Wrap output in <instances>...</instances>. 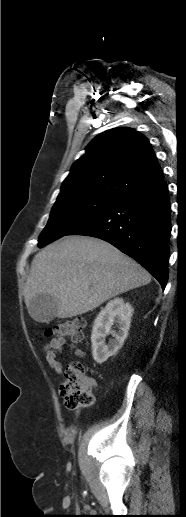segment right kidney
<instances>
[{"label":"right kidney","mask_w":186,"mask_h":517,"mask_svg":"<svg viewBox=\"0 0 186 517\" xmlns=\"http://www.w3.org/2000/svg\"><path fill=\"white\" fill-rule=\"evenodd\" d=\"M133 308L129 303H125L122 298H115L107 303L94 321L92 329V355L94 360L102 364L110 356L115 355L123 346L130 329ZM114 323H117L119 330H112ZM111 334L114 339H110L108 345L105 337Z\"/></svg>","instance_id":"right-kidney-1"}]
</instances>
